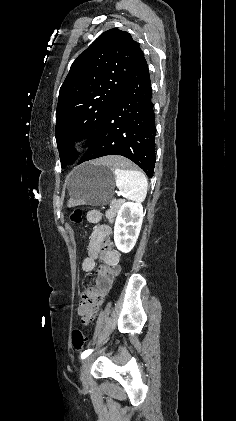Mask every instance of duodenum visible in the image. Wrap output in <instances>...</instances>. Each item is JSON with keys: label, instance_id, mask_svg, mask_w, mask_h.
<instances>
[{"label": "duodenum", "instance_id": "duodenum-1", "mask_svg": "<svg viewBox=\"0 0 236 421\" xmlns=\"http://www.w3.org/2000/svg\"><path fill=\"white\" fill-rule=\"evenodd\" d=\"M99 254L104 265L98 270L96 288L83 297L82 309L84 316L94 314L101 306L105 295L110 289L119 263V253L110 249L107 245L100 248ZM90 259L94 260V256H91Z\"/></svg>", "mask_w": 236, "mask_h": 421}]
</instances>
